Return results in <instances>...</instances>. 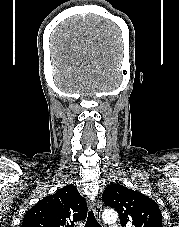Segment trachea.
<instances>
[{"label":"trachea","mask_w":179,"mask_h":227,"mask_svg":"<svg viewBox=\"0 0 179 227\" xmlns=\"http://www.w3.org/2000/svg\"><path fill=\"white\" fill-rule=\"evenodd\" d=\"M85 227H101V225L97 222L92 210L89 211Z\"/></svg>","instance_id":"1"}]
</instances>
